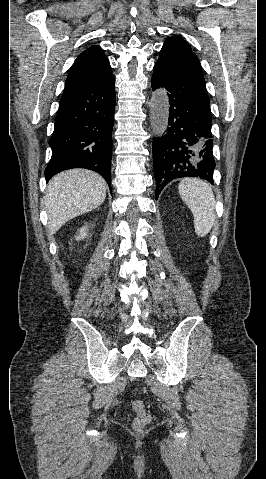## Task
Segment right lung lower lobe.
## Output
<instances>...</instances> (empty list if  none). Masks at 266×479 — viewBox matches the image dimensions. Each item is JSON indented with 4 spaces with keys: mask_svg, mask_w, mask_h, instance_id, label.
Masks as SVG:
<instances>
[{
    "mask_svg": "<svg viewBox=\"0 0 266 479\" xmlns=\"http://www.w3.org/2000/svg\"><path fill=\"white\" fill-rule=\"evenodd\" d=\"M115 78L67 85L62 94L49 145V179L60 171L86 168L98 172L111 189Z\"/></svg>",
    "mask_w": 266,
    "mask_h": 479,
    "instance_id": "98d812e1",
    "label": "right lung lower lobe"
}]
</instances>
